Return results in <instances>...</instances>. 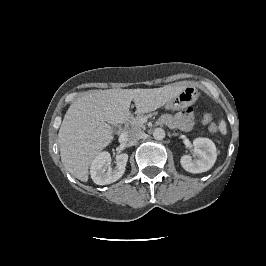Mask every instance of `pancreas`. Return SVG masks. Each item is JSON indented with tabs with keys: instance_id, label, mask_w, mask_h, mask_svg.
<instances>
[{
	"instance_id": "obj_1",
	"label": "pancreas",
	"mask_w": 266,
	"mask_h": 266,
	"mask_svg": "<svg viewBox=\"0 0 266 266\" xmlns=\"http://www.w3.org/2000/svg\"><path fill=\"white\" fill-rule=\"evenodd\" d=\"M144 118H148V115L138 114L135 117H132L130 120L131 128L133 129H145V124L142 121Z\"/></svg>"
}]
</instances>
